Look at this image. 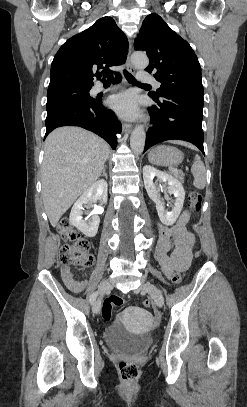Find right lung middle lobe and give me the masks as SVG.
I'll use <instances>...</instances> for the list:
<instances>
[{
  "label": "right lung middle lobe",
  "instance_id": "right-lung-middle-lobe-1",
  "mask_svg": "<svg viewBox=\"0 0 247 407\" xmlns=\"http://www.w3.org/2000/svg\"><path fill=\"white\" fill-rule=\"evenodd\" d=\"M91 87L66 86L47 91V108L67 102H92L95 99L90 97Z\"/></svg>",
  "mask_w": 247,
  "mask_h": 407
}]
</instances>
